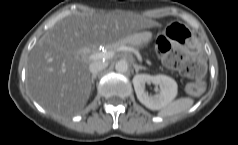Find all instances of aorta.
I'll return each instance as SVG.
<instances>
[{"mask_svg": "<svg viewBox=\"0 0 238 145\" xmlns=\"http://www.w3.org/2000/svg\"><path fill=\"white\" fill-rule=\"evenodd\" d=\"M115 69L119 73H125L128 70V63L125 60H120L116 63Z\"/></svg>", "mask_w": 238, "mask_h": 145, "instance_id": "1", "label": "aorta"}]
</instances>
